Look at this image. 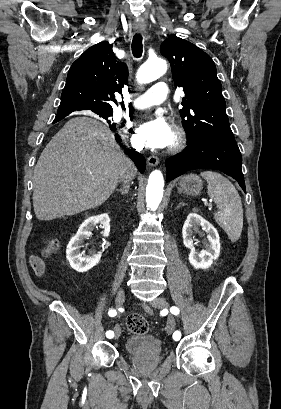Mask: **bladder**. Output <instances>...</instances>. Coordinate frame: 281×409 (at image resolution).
Here are the masks:
<instances>
[{
	"mask_svg": "<svg viewBox=\"0 0 281 409\" xmlns=\"http://www.w3.org/2000/svg\"><path fill=\"white\" fill-rule=\"evenodd\" d=\"M123 352L132 355H163L164 349L159 337L152 333L134 334L126 337L122 344Z\"/></svg>",
	"mask_w": 281,
	"mask_h": 409,
	"instance_id": "31cf9c89",
	"label": "bladder"
}]
</instances>
